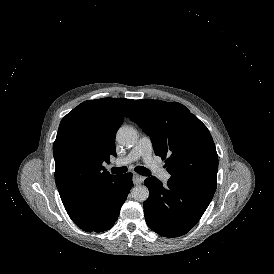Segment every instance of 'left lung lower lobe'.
<instances>
[{
  "label": "left lung lower lobe",
  "mask_w": 274,
  "mask_h": 274,
  "mask_svg": "<svg viewBox=\"0 0 274 274\" xmlns=\"http://www.w3.org/2000/svg\"><path fill=\"white\" fill-rule=\"evenodd\" d=\"M149 198L144 202L147 225L165 237L187 233L201 218L215 190L169 179L163 185L156 177L147 178Z\"/></svg>",
  "instance_id": "obj_1"
}]
</instances>
